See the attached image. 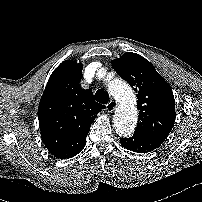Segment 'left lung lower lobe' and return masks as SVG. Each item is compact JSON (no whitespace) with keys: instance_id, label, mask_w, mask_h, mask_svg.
I'll use <instances>...</instances> for the list:
<instances>
[{"instance_id":"1","label":"left lung lower lobe","mask_w":202,"mask_h":202,"mask_svg":"<svg viewBox=\"0 0 202 202\" xmlns=\"http://www.w3.org/2000/svg\"><path fill=\"white\" fill-rule=\"evenodd\" d=\"M165 140L157 137L143 136L134 134L130 138H120V143L126 149L138 152L147 153L158 148Z\"/></svg>"}]
</instances>
